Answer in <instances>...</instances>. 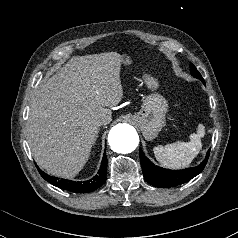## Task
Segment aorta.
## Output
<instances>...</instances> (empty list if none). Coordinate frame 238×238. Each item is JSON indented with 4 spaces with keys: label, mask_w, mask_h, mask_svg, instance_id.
<instances>
[{
    "label": "aorta",
    "mask_w": 238,
    "mask_h": 238,
    "mask_svg": "<svg viewBox=\"0 0 238 238\" xmlns=\"http://www.w3.org/2000/svg\"><path fill=\"white\" fill-rule=\"evenodd\" d=\"M108 142L113 151L126 154L136 149L139 136L131 125L117 124L110 130Z\"/></svg>",
    "instance_id": "obj_1"
}]
</instances>
